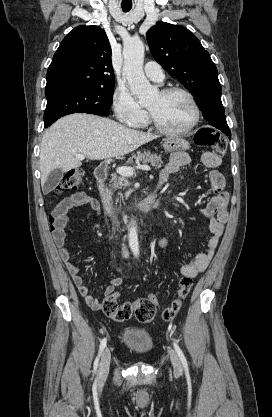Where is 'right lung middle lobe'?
Wrapping results in <instances>:
<instances>
[{
	"label": "right lung middle lobe",
	"instance_id": "dd1d6c3e",
	"mask_svg": "<svg viewBox=\"0 0 272 417\" xmlns=\"http://www.w3.org/2000/svg\"><path fill=\"white\" fill-rule=\"evenodd\" d=\"M114 85L108 87L58 88L45 91V125L72 113L109 115Z\"/></svg>",
	"mask_w": 272,
	"mask_h": 417
}]
</instances>
